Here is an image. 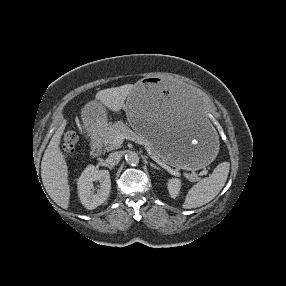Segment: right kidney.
I'll return each instance as SVG.
<instances>
[{
	"instance_id": "obj_1",
	"label": "right kidney",
	"mask_w": 286,
	"mask_h": 286,
	"mask_svg": "<svg viewBox=\"0 0 286 286\" xmlns=\"http://www.w3.org/2000/svg\"><path fill=\"white\" fill-rule=\"evenodd\" d=\"M99 181L97 192L93 183ZM78 195L81 203L87 209H95L103 204L111 190V179L108 170H97L95 166L89 165L78 178Z\"/></svg>"
}]
</instances>
